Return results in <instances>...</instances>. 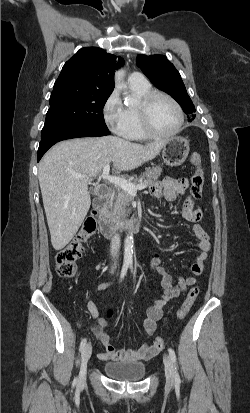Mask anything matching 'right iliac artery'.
Returning a JSON list of instances; mask_svg holds the SVG:
<instances>
[{"mask_svg": "<svg viewBox=\"0 0 250 413\" xmlns=\"http://www.w3.org/2000/svg\"><path fill=\"white\" fill-rule=\"evenodd\" d=\"M127 269H128V265H127V264H124L123 267H122V270H121L120 280H122V279L124 278V276L126 275ZM86 342H87V339H86V338H84V339L81 341V343H80V350H81V351L84 349V347H85V345H86ZM75 382H77V379L75 380Z\"/></svg>", "mask_w": 250, "mask_h": 413, "instance_id": "1", "label": "right iliac artery"}]
</instances>
